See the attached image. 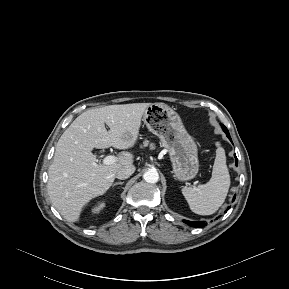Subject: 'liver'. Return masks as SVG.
<instances>
[{
    "mask_svg": "<svg viewBox=\"0 0 289 289\" xmlns=\"http://www.w3.org/2000/svg\"><path fill=\"white\" fill-rule=\"evenodd\" d=\"M150 105L133 103L87 110L64 131L48 169L47 183L49 198L64 219L79 221L84 206L110 188L117 170L133 164V155L128 152L120 153L114 164H98L92 150L133 147Z\"/></svg>",
    "mask_w": 289,
    "mask_h": 289,
    "instance_id": "obj_1",
    "label": "liver"
}]
</instances>
